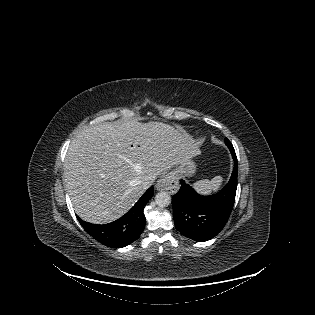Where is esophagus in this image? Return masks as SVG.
Segmentation results:
<instances>
[{
    "instance_id": "1",
    "label": "esophagus",
    "mask_w": 315,
    "mask_h": 315,
    "mask_svg": "<svg viewBox=\"0 0 315 315\" xmlns=\"http://www.w3.org/2000/svg\"><path fill=\"white\" fill-rule=\"evenodd\" d=\"M157 190H165L170 193H176L179 189L177 177L173 173L163 174L156 184Z\"/></svg>"
}]
</instances>
